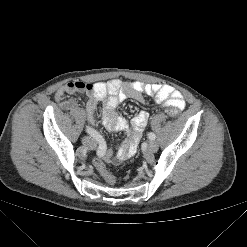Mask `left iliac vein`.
<instances>
[{
    "label": "left iliac vein",
    "mask_w": 247,
    "mask_h": 247,
    "mask_svg": "<svg viewBox=\"0 0 247 247\" xmlns=\"http://www.w3.org/2000/svg\"><path fill=\"white\" fill-rule=\"evenodd\" d=\"M158 150V143L154 140L150 141L147 147L148 153H154Z\"/></svg>",
    "instance_id": "obj_1"
}]
</instances>
